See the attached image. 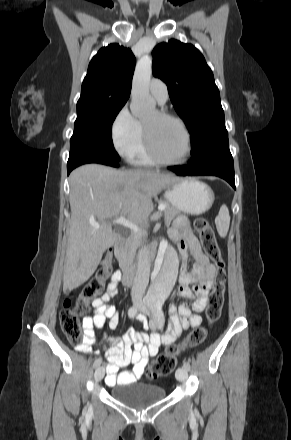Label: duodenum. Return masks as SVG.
I'll list each match as a JSON object with an SVG mask.
<instances>
[{
    "instance_id": "obj_1",
    "label": "duodenum",
    "mask_w": 291,
    "mask_h": 440,
    "mask_svg": "<svg viewBox=\"0 0 291 440\" xmlns=\"http://www.w3.org/2000/svg\"><path fill=\"white\" fill-rule=\"evenodd\" d=\"M122 237L119 234L115 235V241L112 248L116 249L119 247L121 243ZM152 258V257H151ZM153 259V258H152ZM122 272H123V282L125 285H130L136 278L135 270L128 265V263L124 262L122 264Z\"/></svg>"
}]
</instances>
